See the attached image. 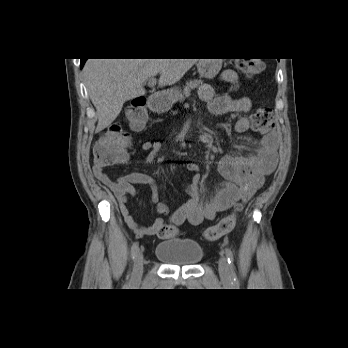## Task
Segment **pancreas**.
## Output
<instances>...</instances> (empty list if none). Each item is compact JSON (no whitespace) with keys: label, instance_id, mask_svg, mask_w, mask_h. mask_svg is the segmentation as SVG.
I'll use <instances>...</instances> for the list:
<instances>
[{"label":"pancreas","instance_id":"1","mask_svg":"<svg viewBox=\"0 0 348 348\" xmlns=\"http://www.w3.org/2000/svg\"><path fill=\"white\" fill-rule=\"evenodd\" d=\"M201 83L202 81L198 79L187 81L186 85L184 86L183 92L179 97L180 101L182 102L186 97H189L191 91L199 87Z\"/></svg>","mask_w":348,"mask_h":348}]
</instances>
